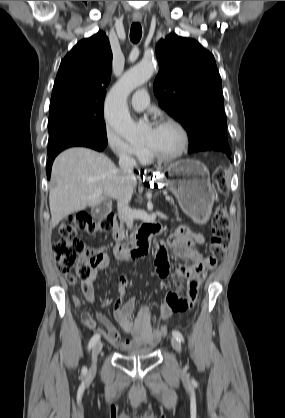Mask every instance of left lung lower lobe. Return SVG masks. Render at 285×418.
<instances>
[{
	"mask_svg": "<svg viewBox=\"0 0 285 418\" xmlns=\"http://www.w3.org/2000/svg\"><path fill=\"white\" fill-rule=\"evenodd\" d=\"M206 150H217V151H221V150H218V149H205V150H202V151H206ZM221 152L225 153L230 158L231 152H226V151H221Z\"/></svg>",
	"mask_w": 285,
	"mask_h": 418,
	"instance_id": "left-lung-lower-lobe-1",
	"label": "left lung lower lobe"
}]
</instances>
